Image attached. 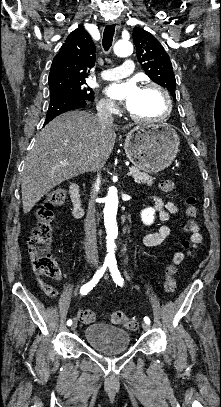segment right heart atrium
<instances>
[{"instance_id":"obj_1","label":"right heart atrium","mask_w":221,"mask_h":407,"mask_svg":"<svg viewBox=\"0 0 221 407\" xmlns=\"http://www.w3.org/2000/svg\"><path fill=\"white\" fill-rule=\"evenodd\" d=\"M97 110L100 113L115 114L118 112V108L110 100L103 98L97 103Z\"/></svg>"}]
</instances>
